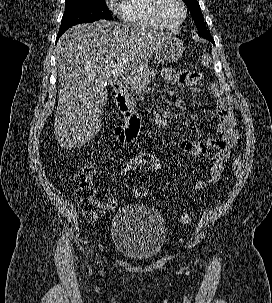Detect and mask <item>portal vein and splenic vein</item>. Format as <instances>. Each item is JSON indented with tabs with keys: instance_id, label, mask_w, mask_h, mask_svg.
Returning a JSON list of instances; mask_svg holds the SVG:
<instances>
[{
	"instance_id": "1",
	"label": "portal vein and splenic vein",
	"mask_w": 272,
	"mask_h": 303,
	"mask_svg": "<svg viewBox=\"0 0 272 303\" xmlns=\"http://www.w3.org/2000/svg\"><path fill=\"white\" fill-rule=\"evenodd\" d=\"M128 62V60H124V63L126 64ZM118 77V75H114V78Z\"/></svg>"
}]
</instances>
